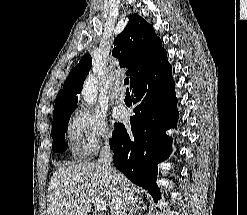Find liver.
Instances as JSON below:
<instances>
[{"label":"liver","instance_id":"6515ba94","mask_svg":"<svg viewBox=\"0 0 247 215\" xmlns=\"http://www.w3.org/2000/svg\"><path fill=\"white\" fill-rule=\"evenodd\" d=\"M119 175L120 185H116L105 176L98 163H72L58 167L48 187V215H88L91 197L102 199L114 215L115 199L120 193L128 204H140L129 181Z\"/></svg>","mask_w":247,"mask_h":215}]
</instances>
